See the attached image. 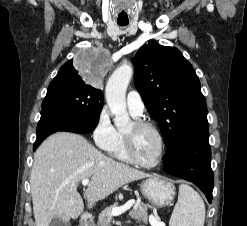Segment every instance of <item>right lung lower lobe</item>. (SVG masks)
<instances>
[{
    "label": "right lung lower lobe",
    "instance_id": "98d812e1",
    "mask_svg": "<svg viewBox=\"0 0 247 226\" xmlns=\"http://www.w3.org/2000/svg\"><path fill=\"white\" fill-rule=\"evenodd\" d=\"M97 124L92 120L78 119L55 110L41 113V118L37 126V139L33 149L35 150L47 136L54 132L68 131L85 134L93 131Z\"/></svg>",
    "mask_w": 247,
    "mask_h": 226
}]
</instances>
